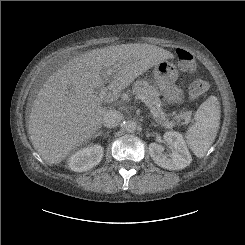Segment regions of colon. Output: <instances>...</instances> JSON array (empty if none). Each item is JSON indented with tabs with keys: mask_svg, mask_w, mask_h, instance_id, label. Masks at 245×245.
<instances>
[{
	"mask_svg": "<svg viewBox=\"0 0 245 245\" xmlns=\"http://www.w3.org/2000/svg\"><path fill=\"white\" fill-rule=\"evenodd\" d=\"M178 64L183 72H193L196 69V60L191 52L185 49L177 50ZM209 88L207 81L203 79L194 80L188 88V97L190 99L198 98L204 95Z\"/></svg>",
	"mask_w": 245,
	"mask_h": 245,
	"instance_id": "colon-1",
	"label": "colon"
}]
</instances>
